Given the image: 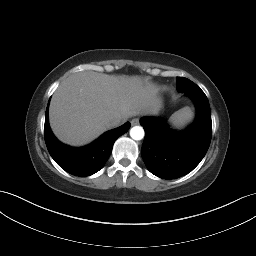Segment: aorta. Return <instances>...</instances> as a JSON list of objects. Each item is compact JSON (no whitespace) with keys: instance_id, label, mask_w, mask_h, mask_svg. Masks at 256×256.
I'll use <instances>...</instances> for the list:
<instances>
[{"instance_id":"obj_1","label":"aorta","mask_w":256,"mask_h":256,"mask_svg":"<svg viewBox=\"0 0 256 256\" xmlns=\"http://www.w3.org/2000/svg\"><path fill=\"white\" fill-rule=\"evenodd\" d=\"M144 129L141 126H134L130 130V136L134 140H141L144 137Z\"/></svg>"}]
</instances>
